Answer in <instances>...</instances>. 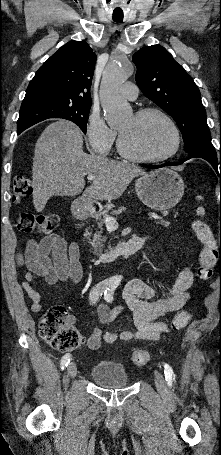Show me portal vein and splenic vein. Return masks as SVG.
Instances as JSON below:
<instances>
[{
  "label": "portal vein and splenic vein",
  "mask_w": 221,
  "mask_h": 455,
  "mask_svg": "<svg viewBox=\"0 0 221 455\" xmlns=\"http://www.w3.org/2000/svg\"><path fill=\"white\" fill-rule=\"evenodd\" d=\"M87 179L90 180V181H93L96 179V177L92 174H88L87 175ZM149 217L150 218H154V219H161V217L155 215V214H149ZM105 224L107 227H110V228H113V229H116L118 228V222L116 221L115 218L111 217V216H106L105 217Z\"/></svg>",
  "instance_id": "1"
}]
</instances>
